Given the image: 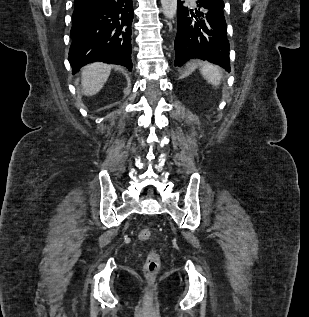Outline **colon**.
Returning a JSON list of instances; mask_svg holds the SVG:
<instances>
[{
    "label": "colon",
    "instance_id": "5ec220e1",
    "mask_svg": "<svg viewBox=\"0 0 309 317\" xmlns=\"http://www.w3.org/2000/svg\"><path fill=\"white\" fill-rule=\"evenodd\" d=\"M138 238L141 241H148L151 238V231L148 228H142L138 232ZM160 268V257L155 251H150L144 264V275L147 281L152 284Z\"/></svg>",
    "mask_w": 309,
    "mask_h": 317
}]
</instances>
